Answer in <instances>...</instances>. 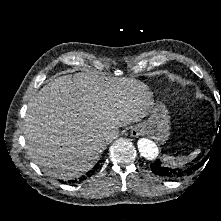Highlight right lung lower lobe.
Wrapping results in <instances>:
<instances>
[{
	"label": "right lung lower lobe",
	"instance_id": "right-lung-lower-lobe-1",
	"mask_svg": "<svg viewBox=\"0 0 221 221\" xmlns=\"http://www.w3.org/2000/svg\"><path fill=\"white\" fill-rule=\"evenodd\" d=\"M98 166H99V162L95 165V167L92 169V170H90L88 173H87V175H89V174H93L94 172H95V170L98 168ZM84 179H86V178H84ZM72 180H70L69 182H71ZM73 182H75V180H73Z\"/></svg>",
	"mask_w": 221,
	"mask_h": 221
}]
</instances>
